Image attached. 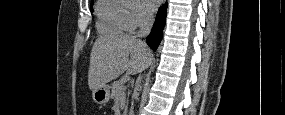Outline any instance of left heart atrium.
<instances>
[{
	"label": "left heart atrium",
	"instance_id": "1",
	"mask_svg": "<svg viewBox=\"0 0 285 115\" xmlns=\"http://www.w3.org/2000/svg\"><path fill=\"white\" fill-rule=\"evenodd\" d=\"M158 0H143V7L146 10L147 13H153L157 6H158Z\"/></svg>",
	"mask_w": 285,
	"mask_h": 115
}]
</instances>
